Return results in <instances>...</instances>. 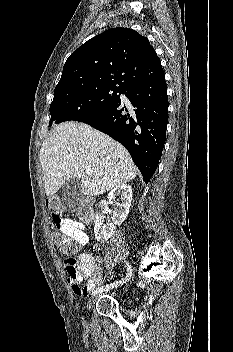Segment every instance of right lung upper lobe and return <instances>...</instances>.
<instances>
[{
    "label": "right lung upper lobe",
    "mask_w": 233,
    "mask_h": 352,
    "mask_svg": "<svg viewBox=\"0 0 233 352\" xmlns=\"http://www.w3.org/2000/svg\"><path fill=\"white\" fill-rule=\"evenodd\" d=\"M164 74L149 40L128 28H112L91 38L67 59L54 94L100 85L124 89Z\"/></svg>",
    "instance_id": "obj_1"
}]
</instances>
